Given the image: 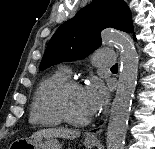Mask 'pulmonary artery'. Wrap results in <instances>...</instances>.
Listing matches in <instances>:
<instances>
[{
	"mask_svg": "<svg viewBox=\"0 0 155 149\" xmlns=\"http://www.w3.org/2000/svg\"><path fill=\"white\" fill-rule=\"evenodd\" d=\"M116 60V55L113 50L108 48H102L97 50L93 55V62L97 66H109L114 65ZM67 75L70 74V69L63 67L62 69Z\"/></svg>",
	"mask_w": 155,
	"mask_h": 149,
	"instance_id": "e3ab8cb5",
	"label": "pulmonary artery"
}]
</instances>
